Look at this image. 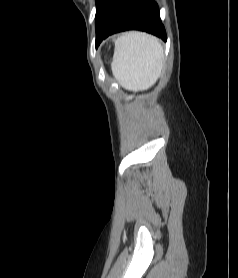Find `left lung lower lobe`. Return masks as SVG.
<instances>
[{
    "label": "left lung lower lobe",
    "instance_id": "left-lung-lower-lobe-1",
    "mask_svg": "<svg viewBox=\"0 0 238 278\" xmlns=\"http://www.w3.org/2000/svg\"><path fill=\"white\" fill-rule=\"evenodd\" d=\"M96 46L116 32L141 30L166 41L159 9L154 0H97Z\"/></svg>",
    "mask_w": 238,
    "mask_h": 278
}]
</instances>
